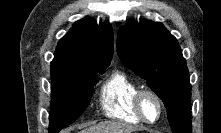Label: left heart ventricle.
Returning a JSON list of instances; mask_svg holds the SVG:
<instances>
[{
	"instance_id": "1",
	"label": "left heart ventricle",
	"mask_w": 221,
	"mask_h": 133,
	"mask_svg": "<svg viewBox=\"0 0 221 133\" xmlns=\"http://www.w3.org/2000/svg\"><path fill=\"white\" fill-rule=\"evenodd\" d=\"M144 110L146 113V116L150 120L156 119L158 115V106L156 102L152 98H146L144 101Z\"/></svg>"
}]
</instances>
